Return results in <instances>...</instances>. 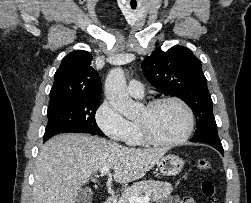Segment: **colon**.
<instances>
[{
  "mask_svg": "<svg viewBox=\"0 0 251 203\" xmlns=\"http://www.w3.org/2000/svg\"><path fill=\"white\" fill-rule=\"evenodd\" d=\"M197 169L202 172H208L212 169V164L205 158H200L196 163ZM201 192L206 198V203H217L216 185L210 179H204L201 183Z\"/></svg>",
  "mask_w": 251,
  "mask_h": 203,
  "instance_id": "1",
  "label": "colon"
}]
</instances>
